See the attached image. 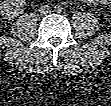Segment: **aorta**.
Returning a JSON list of instances; mask_svg holds the SVG:
<instances>
[{
    "label": "aorta",
    "mask_w": 111,
    "mask_h": 106,
    "mask_svg": "<svg viewBox=\"0 0 111 106\" xmlns=\"http://www.w3.org/2000/svg\"><path fill=\"white\" fill-rule=\"evenodd\" d=\"M56 10H57V11H60V8H59V7H56Z\"/></svg>",
    "instance_id": "obj_1"
}]
</instances>
